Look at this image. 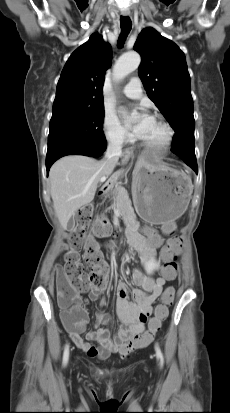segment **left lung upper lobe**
Here are the masks:
<instances>
[{"instance_id":"1","label":"left lung upper lobe","mask_w":230,"mask_h":413,"mask_svg":"<svg viewBox=\"0 0 230 413\" xmlns=\"http://www.w3.org/2000/svg\"><path fill=\"white\" fill-rule=\"evenodd\" d=\"M134 50L142 57L138 74L148 97L175 131L171 151L182 159L195 157L193 99L184 53L151 27L141 31Z\"/></svg>"}]
</instances>
